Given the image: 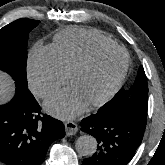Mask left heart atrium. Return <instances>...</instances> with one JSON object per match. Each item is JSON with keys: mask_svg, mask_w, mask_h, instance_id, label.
<instances>
[{"mask_svg": "<svg viewBox=\"0 0 165 165\" xmlns=\"http://www.w3.org/2000/svg\"><path fill=\"white\" fill-rule=\"evenodd\" d=\"M87 101L75 87H69L50 96L45 102L48 112L59 118H73L83 112Z\"/></svg>", "mask_w": 165, "mask_h": 165, "instance_id": "39dd6f15", "label": "left heart atrium"}]
</instances>
